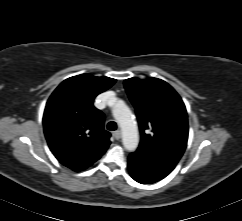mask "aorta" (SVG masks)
<instances>
[{
	"instance_id": "aorta-1",
	"label": "aorta",
	"mask_w": 242,
	"mask_h": 221,
	"mask_svg": "<svg viewBox=\"0 0 242 221\" xmlns=\"http://www.w3.org/2000/svg\"><path fill=\"white\" fill-rule=\"evenodd\" d=\"M113 115L122 130V143L126 150L135 151L139 143L138 128L129 107L121 100L113 108Z\"/></svg>"
}]
</instances>
